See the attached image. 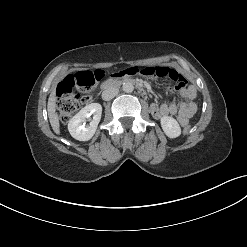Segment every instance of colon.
I'll return each instance as SVG.
<instances>
[{"mask_svg":"<svg viewBox=\"0 0 247 247\" xmlns=\"http://www.w3.org/2000/svg\"><path fill=\"white\" fill-rule=\"evenodd\" d=\"M104 76L103 71L78 72L67 75L58 85L57 113L61 122L66 123L78 108L87 103L92 96L96 83ZM191 126H183V132L189 133Z\"/></svg>","mask_w":247,"mask_h":247,"instance_id":"1","label":"colon"}]
</instances>
